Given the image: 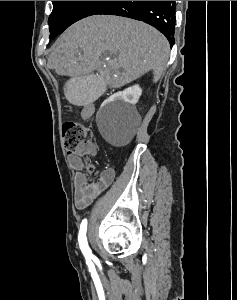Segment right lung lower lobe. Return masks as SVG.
<instances>
[{
    "instance_id": "1",
    "label": "right lung lower lobe",
    "mask_w": 237,
    "mask_h": 300,
    "mask_svg": "<svg viewBox=\"0 0 237 300\" xmlns=\"http://www.w3.org/2000/svg\"><path fill=\"white\" fill-rule=\"evenodd\" d=\"M118 15L144 21L174 44L175 1H106L93 15Z\"/></svg>"
}]
</instances>
